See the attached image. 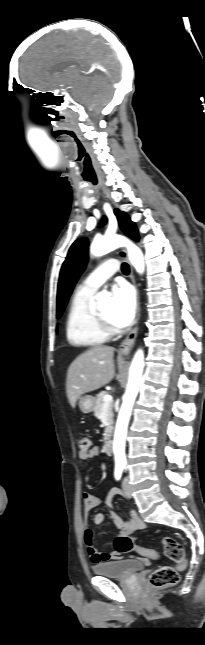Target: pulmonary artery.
I'll use <instances>...</instances> for the list:
<instances>
[{
	"mask_svg": "<svg viewBox=\"0 0 205 645\" xmlns=\"http://www.w3.org/2000/svg\"><path fill=\"white\" fill-rule=\"evenodd\" d=\"M119 269V263L115 259H109L97 267L78 287L84 292L95 293L97 289Z\"/></svg>",
	"mask_w": 205,
	"mask_h": 645,
	"instance_id": "obj_1",
	"label": "pulmonary artery"
}]
</instances>
